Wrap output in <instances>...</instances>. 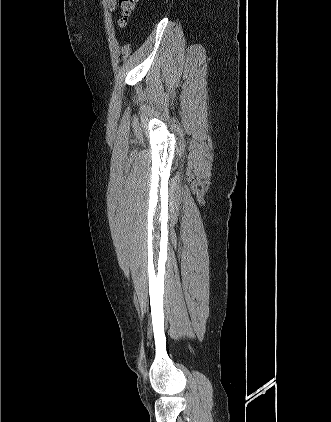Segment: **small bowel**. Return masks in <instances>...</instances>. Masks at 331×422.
I'll return each instance as SVG.
<instances>
[{"label":"small bowel","mask_w":331,"mask_h":422,"mask_svg":"<svg viewBox=\"0 0 331 422\" xmlns=\"http://www.w3.org/2000/svg\"><path fill=\"white\" fill-rule=\"evenodd\" d=\"M104 5L108 10L113 11L117 6V0H104Z\"/></svg>","instance_id":"small-bowel-1"}]
</instances>
